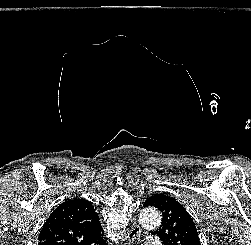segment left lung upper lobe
<instances>
[{
  "mask_svg": "<svg viewBox=\"0 0 251 245\" xmlns=\"http://www.w3.org/2000/svg\"><path fill=\"white\" fill-rule=\"evenodd\" d=\"M158 208L162 215V225L153 232L163 245H200V240L191 216L175 199L165 194L149 197L143 207Z\"/></svg>",
  "mask_w": 251,
  "mask_h": 245,
  "instance_id": "obj_1",
  "label": "left lung upper lobe"
}]
</instances>
